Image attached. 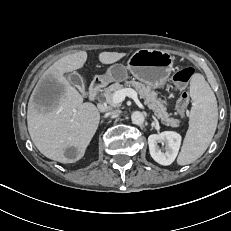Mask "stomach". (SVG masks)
<instances>
[{
	"mask_svg": "<svg viewBox=\"0 0 231 231\" xmlns=\"http://www.w3.org/2000/svg\"><path fill=\"white\" fill-rule=\"evenodd\" d=\"M174 58L164 50L140 49L128 60L127 67L115 64L108 68L104 78L108 81H123L129 71L137 80L151 88H161L173 69Z\"/></svg>",
	"mask_w": 231,
	"mask_h": 231,
	"instance_id": "stomach-1",
	"label": "stomach"
}]
</instances>
